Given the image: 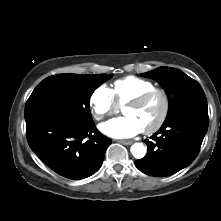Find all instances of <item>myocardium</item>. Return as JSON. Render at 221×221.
<instances>
[{"instance_id":"1","label":"myocardium","mask_w":221,"mask_h":221,"mask_svg":"<svg viewBox=\"0 0 221 221\" xmlns=\"http://www.w3.org/2000/svg\"><path fill=\"white\" fill-rule=\"evenodd\" d=\"M157 95L161 96L163 100V110L157 122L151 127L143 130L145 134H154L157 131H159L162 128V126L165 124L170 113V97L167 91L165 89L155 87L141 94L140 96L130 100L128 103L125 104V107L126 106H132V107L142 106L145 103H147L149 100H151L154 96H157Z\"/></svg>"}]
</instances>
